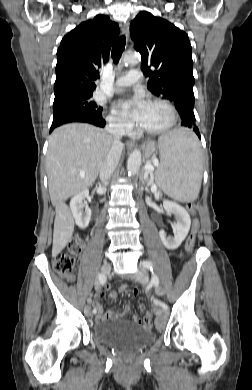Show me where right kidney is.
Wrapping results in <instances>:
<instances>
[{
  "label": "right kidney",
  "mask_w": 252,
  "mask_h": 390,
  "mask_svg": "<svg viewBox=\"0 0 252 390\" xmlns=\"http://www.w3.org/2000/svg\"><path fill=\"white\" fill-rule=\"evenodd\" d=\"M89 191L84 190L75 195L70 201V209L79 228L85 229L91 219V209L87 204H84L85 198L88 196Z\"/></svg>",
  "instance_id": "obj_1"
}]
</instances>
